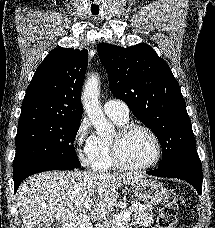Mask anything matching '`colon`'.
I'll use <instances>...</instances> for the list:
<instances>
[{
    "label": "colon",
    "mask_w": 215,
    "mask_h": 228,
    "mask_svg": "<svg viewBox=\"0 0 215 228\" xmlns=\"http://www.w3.org/2000/svg\"><path fill=\"white\" fill-rule=\"evenodd\" d=\"M177 204L173 199H168L159 211L158 228H174L177 222Z\"/></svg>",
    "instance_id": "colon-1"
}]
</instances>
